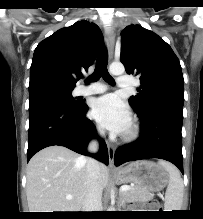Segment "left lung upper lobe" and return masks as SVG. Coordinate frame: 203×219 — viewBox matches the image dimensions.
<instances>
[{
  "instance_id": "5c2ea615",
  "label": "left lung upper lobe",
  "mask_w": 203,
  "mask_h": 219,
  "mask_svg": "<svg viewBox=\"0 0 203 219\" xmlns=\"http://www.w3.org/2000/svg\"><path fill=\"white\" fill-rule=\"evenodd\" d=\"M120 60L127 74L140 77L141 88L129 103L139 116L161 106L184 104V79L179 59L158 35L140 25L121 33Z\"/></svg>"
}]
</instances>
